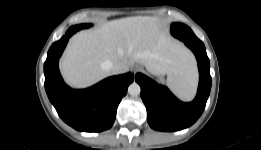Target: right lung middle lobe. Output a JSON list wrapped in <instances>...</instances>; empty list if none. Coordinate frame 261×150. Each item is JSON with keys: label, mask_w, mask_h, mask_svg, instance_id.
Instances as JSON below:
<instances>
[{"label": "right lung middle lobe", "mask_w": 261, "mask_h": 150, "mask_svg": "<svg viewBox=\"0 0 261 150\" xmlns=\"http://www.w3.org/2000/svg\"><path fill=\"white\" fill-rule=\"evenodd\" d=\"M90 25H77V26H73L76 27L77 29H81V28H85V27H89Z\"/></svg>", "instance_id": "obj_1"}]
</instances>
